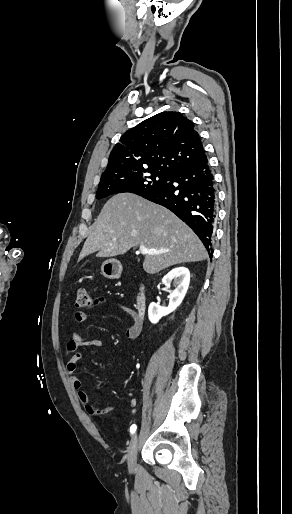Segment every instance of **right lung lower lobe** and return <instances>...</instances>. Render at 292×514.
<instances>
[{"mask_svg":"<svg viewBox=\"0 0 292 514\" xmlns=\"http://www.w3.org/2000/svg\"><path fill=\"white\" fill-rule=\"evenodd\" d=\"M142 197L176 214L198 235L212 257L217 194L207 156L174 172L166 183Z\"/></svg>","mask_w":292,"mask_h":514,"instance_id":"obj_1","label":"right lung lower lobe"}]
</instances>
